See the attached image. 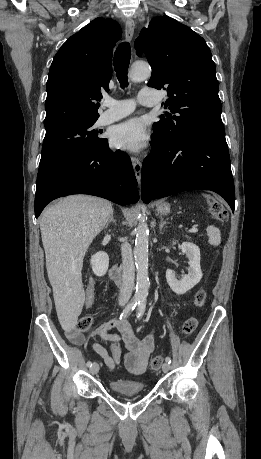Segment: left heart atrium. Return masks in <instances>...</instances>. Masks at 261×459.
<instances>
[{
    "instance_id": "left-heart-atrium-1",
    "label": "left heart atrium",
    "mask_w": 261,
    "mask_h": 459,
    "mask_svg": "<svg viewBox=\"0 0 261 459\" xmlns=\"http://www.w3.org/2000/svg\"><path fill=\"white\" fill-rule=\"evenodd\" d=\"M148 136L140 119L133 118L117 125L111 134L112 144L121 150L139 152L146 145Z\"/></svg>"
}]
</instances>
